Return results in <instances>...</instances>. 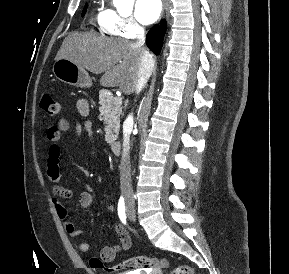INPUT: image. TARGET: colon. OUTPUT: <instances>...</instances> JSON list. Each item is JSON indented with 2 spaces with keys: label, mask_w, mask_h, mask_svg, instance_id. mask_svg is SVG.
I'll use <instances>...</instances> for the list:
<instances>
[{
  "label": "colon",
  "mask_w": 289,
  "mask_h": 274,
  "mask_svg": "<svg viewBox=\"0 0 289 274\" xmlns=\"http://www.w3.org/2000/svg\"><path fill=\"white\" fill-rule=\"evenodd\" d=\"M40 107L46 114L53 117L59 114L61 102L49 94H44L40 99ZM90 265L92 268L106 272H118L121 270L151 272L167 269L170 263L166 259L137 256L112 266H105L99 258L93 257L90 259ZM170 274H194V269L187 265H178L172 269Z\"/></svg>",
  "instance_id": "obj_1"
}]
</instances>
